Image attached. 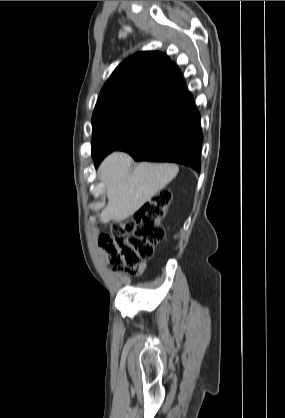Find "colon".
Masks as SVG:
<instances>
[{"label":"colon","mask_w":285,"mask_h":418,"mask_svg":"<svg viewBox=\"0 0 285 418\" xmlns=\"http://www.w3.org/2000/svg\"><path fill=\"white\" fill-rule=\"evenodd\" d=\"M170 200V190L158 191L132 219L114 223L111 233L99 236V244L115 271L137 275L142 260L153 255L155 245L165 235L161 221L169 209Z\"/></svg>","instance_id":"obj_1"}]
</instances>
